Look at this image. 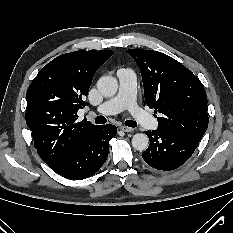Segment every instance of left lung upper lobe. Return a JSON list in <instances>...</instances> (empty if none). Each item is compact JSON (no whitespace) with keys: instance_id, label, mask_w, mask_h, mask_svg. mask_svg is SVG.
<instances>
[{"instance_id":"1","label":"left lung upper lobe","mask_w":233,"mask_h":233,"mask_svg":"<svg viewBox=\"0 0 233 233\" xmlns=\"http://www.w3.org/2000/svg\"><path fill=\"white\" fill-rule=\"evenodd\" d=\"M141 71L144 96L158 128L201 140L208 127L207 96L200 80L161 52L129 49Z\"/></svg>"}]
</instances>
